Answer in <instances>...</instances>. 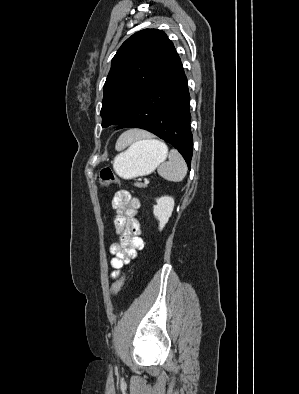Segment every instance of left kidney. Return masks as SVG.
Instances as JSON below:
<instances>
[{"label":"left kidney","instance_id":"5707ae66","mask_svg":"<svg viewBox=\"0 0 299 394\" xmlns=\"http://www.w3.org/2000/svg\"><path fill=\"white\" fill-rule=\"evenodd\" d=\"M156 203L153 207V214L159 221V230L161 231L172 215L174 199L169 196H162L156 199Z\"/></svg>","mask_w":299,"mask_h":394}]
</instances>
